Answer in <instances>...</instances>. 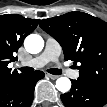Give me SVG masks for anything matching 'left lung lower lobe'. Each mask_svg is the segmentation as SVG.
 I'll use <instances>...</instances> for the list:
<instances>
[{
	"label": "left lung lower lobe",
	"mask_w": 107,
	"mask_h": 107,
	"mask_svg": "<svg viewBox=\"0 0 107 107\" xmlns=\"http://www.w3.org/2000/svg\"><path fill=\"white\" fill-rule=\"evenodd\" d=\"M61 100L66 107H102L107 102V88L78 79Z\"/></svg>",
	"instance_id": "obj_1"
}]
</instances>
